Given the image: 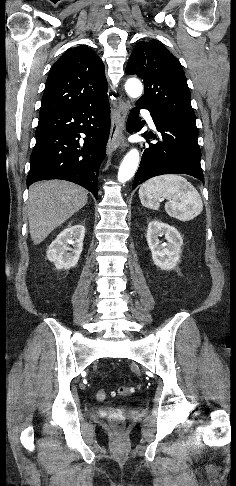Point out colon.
<instances>
[{
	"label": "colon",
	"instance_id": "5ec220e1",
	"mask_svg": "<svg viewBox=\"0 0 236 486\" xmlns=\"http://www.w3.org/2000/svg\"><path fill=\"white\" fill-rule=\"evenodd\" d=\"M138 389L139 386H122L117 389L116 393L122 396H128L134 394ZM107 396H108L107 391L104 389L97 390L95 394V397L98 401L106 400ZM110 421L112 422L113 427L116 430H120L124 422L122 412L120 410L113 411L110 415Z\"/></svg>",
	"mask_w": 236,
	"mask_h": 486
}]
</instances>
